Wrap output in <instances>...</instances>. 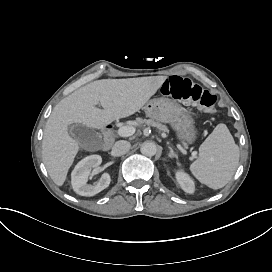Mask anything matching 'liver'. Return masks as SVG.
I'll return each mask as SVG.
<instances>
[{
    "mask_svg": "<svg viewBox=\"0 0 272 272\" xmlns=\"http://www.w3.org/2000/svg\"><path fill=\"white\" fill-rule=\"evenodd\" d=\"M167 76L102 79L91 82L62 99L47 120L42 158L53 182L62 186L79 150L68 126L81 123L100 129L140 110L162 86ZM100 102L103 109L95 107Z\"/></svg>",
    "mask_w": 272,
    "mask_h": 272,
    "instance_id": "obj_1",
    "label": "liver"
}]
</instances>
